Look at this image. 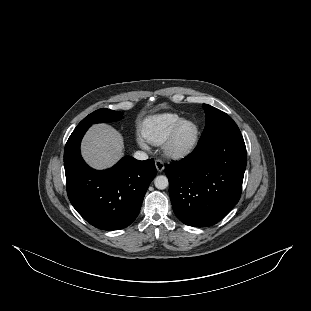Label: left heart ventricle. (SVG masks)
I'll use <instances>...</instances> for the list:
<instances>
[{"label": "left heart ventricle", "mask_w": 311, "mask_h": 311, "mask_svg": "<svg viewBox=\"0 0 311 311\" xmlns=\"http://www.w3.org/2000/svg\"><path fill=\"white\" fill-rule=\"evenodd\" d=\"M194 128L192 125H186L182 128L179 134V143L181 145H186L192 138Z\"/></svg>", "instance_id": "obj_1"}]
</instances>
